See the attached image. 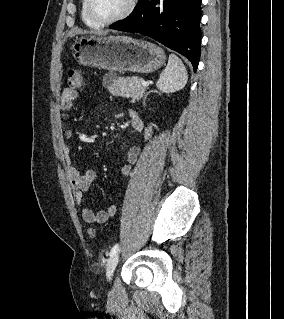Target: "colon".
Listing matches in <instances>:
<instances>
[{
    "instance_id": "1",
    "label": "colon",
    "mask_w": 284,
    "mask_h": 319,
    "mask_svg": "<svg viewBox=\"0 0 284 319\" xmlns=\"http://www.w3.org/2000/svg\"><path fill=\"white\" fill-rule=\"evenodd\" d=\"M68 85L72 89H83L85 87V79L82 71L77 68H71L68 71ZM88 236L90 238H95L96 231L94 228L88 229Z\"/></svg>"
}]
</instances>
